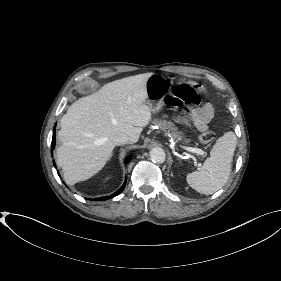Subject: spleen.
Segmentation results:
<instances>
[{"mask_svg":"<svg viewBox=\"0 0 281 281\" xmlns=\"http://www.w3.org/2000/svg\"><path fill=\"white\" fill-rule=\"evenodd\" d=\"M236 144L237 138L232 131L219 137L203 166L187 175L190 187L206 195L221 189L229 179Z\"/></svg>","mask_w":281,"mask_h":281,"instance_id":"obj_1","label":"spleen"}]
</instances>
